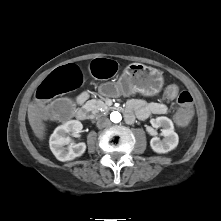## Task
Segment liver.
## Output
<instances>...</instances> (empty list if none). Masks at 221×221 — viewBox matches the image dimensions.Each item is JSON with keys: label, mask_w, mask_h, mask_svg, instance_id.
Segmentation results:
<instances>
[{"label": "liver", "mask_w": 221, "mask_h": 221, "mask_svg": "<svg viewBox=\"0 0 221 221\" xmlns=\"http://www.w3.org/2000/svg\"><path fill=\"white\" fill-rule=\"evenodd\" d=\"M44 119V113L40 106L31 102L28 105V121L35 136L40 140L45 137L46 125L43 122Z\"/></svg>", "instance_id": "6515ba94"}]
</instances>
